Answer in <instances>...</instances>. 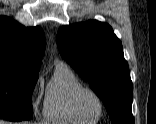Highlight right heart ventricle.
Wrapping results in <instances>:
<instances>
[{
    "mask_svg": "<svg viewBox=\"0 0 156 124\" xmlns=\"http://www.w3.org/2000/svg\"><path fill=\"white\" fill-rule=\"evenodd\" d=\"M81 86L82 83L73 70L64 63H58L45 91V120L58 124L96 123L97 119L80 118L73 109L72 95Z\"/></svg>",
    "mask_w": 156,
    "mask_h": 124,
    "instance_id": "obj_1",
    "label": "right heart ventricle"
}]
</instances>
